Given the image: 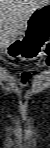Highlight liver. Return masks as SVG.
<instances>
[{
    "instance_id": "1",
    "label": "liver",
    "mask_w": 50,
    "mask_h": 148,
    "mask_svg": "<svg viewBox=\"0 0 50 148\" xmlns=\"http://www.w3.org/2000/svg\"><path fill=\"white\" fill-rule=\"evenodd\" d=\"M39 1L6 0L1 5V42L13 38L38 8Z\"/></svg>"
}]
</instances>
